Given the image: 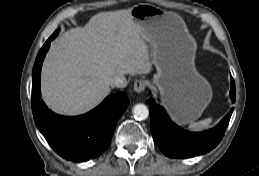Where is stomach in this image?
Listing matches in <instances>:
<instances>
[{
    "instance_id": "stomach-1",
    "label": "stomach",
    "mask_w": 259,
    "mask_h": 176,
    "mask_svg": "<svg viewBox=\"0 0 259 176\" xmlns=\"http://www.w3.org/2000/svg\"><path fill=\"white\" fill-rule=\"evenodd\" d=\"M131 16L150 45L157 70L153 84L161 103L179 124L197 120L211 101L212 89L195 69L196 43L183 21L146 3L132 7Z\"/></svg>"
}]
</instances>
